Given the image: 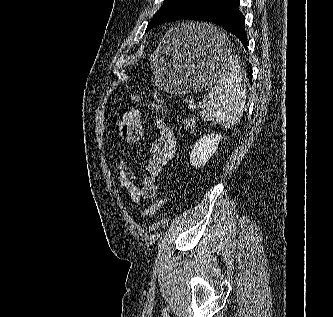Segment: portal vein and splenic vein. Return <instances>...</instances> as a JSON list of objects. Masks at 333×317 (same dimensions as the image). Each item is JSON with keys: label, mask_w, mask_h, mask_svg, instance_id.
I'll return each instance as SVG.
<instances>
[{"label": "portal vein and splenic vein", "mask_w": 333, "mask_h": 317, "mask_svg": "<svg viewBox=\"0 0 333 317\" xmlns=\"http://www.w3.org/2000/svg\"><path fill=\"white\" fill-rule=\"evenodd\" d=\"M204 106H205V105H204ZM200 107H201V105H200ZM188 108H189V109H195L196 106H195L193 103H189V104H188Z\"/></svg>", "instance_id": "18ae733b"}]
</instances>
